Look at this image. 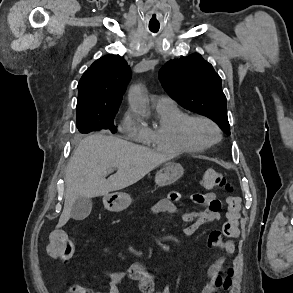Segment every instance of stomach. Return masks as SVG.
<instances>
[{"label": "stomach", "mask_w": 293, "mask_h": 293, "mask_svg": "<svg viewBox=\"0 0 293 293\" xmlns=\"http://www.w3.org/2000/svg\"><path fill=\"white\" fill-rule=\"evenodd\" d=\"M183 173L184 169L181 164L168 162L157 172L155 183L158 187L171 185L176 182ZM131 201L130 195L124 192H115L107 195L103 199L105 208L114 212L127 208L131 204Z\"/></svg>", "instance_id": "0dacf381"}]
</instances>
